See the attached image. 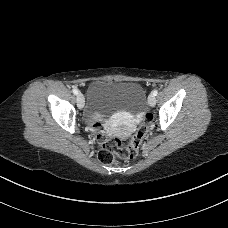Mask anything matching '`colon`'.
I'll return each instance as SVG.
<instances>
[{
  "mask_svg": "<svg viewBox=\"0 0 228 228\" xmlns=\"http://www.w3.org/2000/svg\"><path fill=\"white\" fill-rule=\"evenodd\" d=\"M151 121L152 117L146 116L144 124L138 129L128 145H122L116 138L105 139L98 153L99 161L109 165L112 164L117 157L124 160L135 158L138 155L140 145Z\"/></svg>",
  "mask_w": 228,
  "mask_h": 228,
  "instance_id": "colon-1",
  "label": "colon"
}]
</instances>
